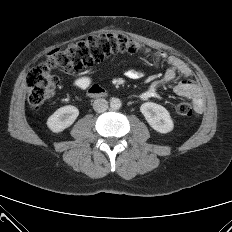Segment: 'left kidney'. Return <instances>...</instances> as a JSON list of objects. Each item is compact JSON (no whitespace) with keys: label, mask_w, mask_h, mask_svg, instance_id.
<instances>
[{"label":"left kidney","mask_w":232,"mask_h":232,"mask_svg":"<svg viewBox=\"0 0 232 232\" xmlns=\"http://www.w3.org/2000/svg\"><path fill=\"white\" fill-rule=\"evenodd\" d=\"M140 111L148 124L157 132L168 133L173 130L174 124L170 113L163 106L146 102L141 105Z\"/></svg>","instance_id":"5707ae66"}]
</instances>
